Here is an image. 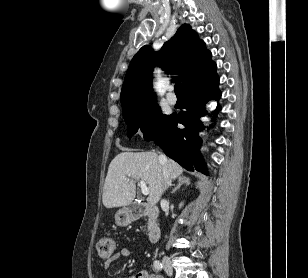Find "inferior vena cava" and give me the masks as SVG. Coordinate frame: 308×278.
Returning a JSON list of instances; mask_svg holds the SVG:
<instances>
[{"instance_id":"1","label":"inferior vena cava","mask_w":308,"mask_h":278,"mask_svg":"<svg viewBox=\"0 0 308 278\" xmlns=\"http://www.w3.org/2000/svg\"><path fill=\"white\" fill-rule=\"evenodd\" d=\"M160 162L163 164V177H164V185L165 189L171 185L170 174L167 169V158L165 155L160 154L159 156Z\"/></svg>"}]
</instances>
